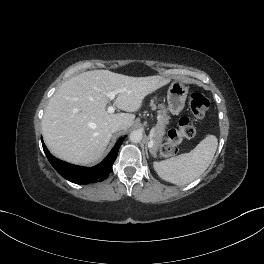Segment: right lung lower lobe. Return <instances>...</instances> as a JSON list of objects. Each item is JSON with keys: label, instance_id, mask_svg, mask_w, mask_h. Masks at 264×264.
Wrapping results in <instances>:
<instances>
[{"label": "right lung lower lobe", "instance_id": "obj_1", "mask_svg": "<svg viewBox=\"0 0 264 264\" xmlns=\"http://www.w3.org/2000/svg\"><path fill=\"white\" fill-rule=\"evenodd\" d=\"M123 140V137L120 138L108 156L100 164L91 168L76 166L55 158L47 150L43 140L42 146L49 162L62 177L76 184H88L103 181L109 176L112 170V164L117 157L119 147Z\"/></svg>", "mask_w": 264, "mask_h": 264}]
</instances>
